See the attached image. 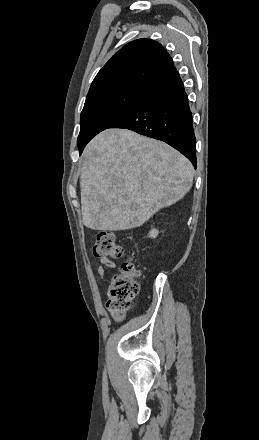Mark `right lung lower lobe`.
Returning a JSON list of instances; mask_svg holds the SVG:
<instances>
[{
    "label": "right lung lower lobe",
    "instance_id": "obj_1",
    "mask_svg": "<svg viewBox=\"0 0 259 440\" xmlns=\"http://www.w3.org/2000/svg\"><path fill=\"white\" fill-rule=\"evenodd\" d=\"M109 128H124L166 142L196 168V140L183 82L173 68Z\"/></svg>",
    "mask_w": 259,
    "mask_h": 440
}]
</instances>
